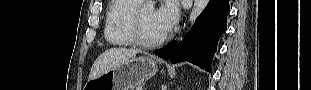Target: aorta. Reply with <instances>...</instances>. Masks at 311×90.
I'll use <instances>...</instances> for the list:
<instances>
[{"label":"aorta","instance_id":"aorta-1","mask_svg":"<svg viewBox=\"0 0 311 90\" xmlns=\"http://www.w3.org/2000/svg\"><path fill=\"white\" fill-rule=\"evenodd\" d=\"M208 3L209 0H194L193 7L188 18V22L190 25H192L196 21V19L203 12ZM144 6L150 9L154 8V4L151 0H147Z\"/></svg>","mask_w":311,"mask_h":90}]
</instances>
